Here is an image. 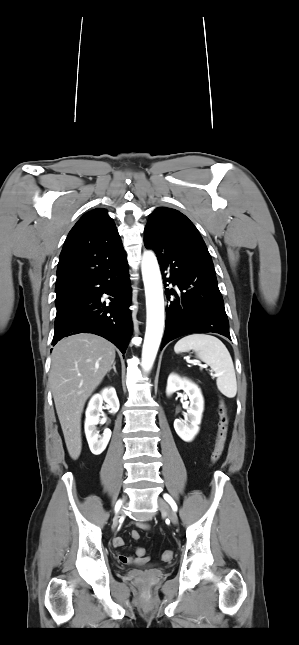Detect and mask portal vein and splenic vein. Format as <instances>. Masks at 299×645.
Masks as SVG:
<instances>
[{
    "instance_id": "1",
    "label": "portal vein and splenic vein",
    "mask_w": 299,
    "mask_h": 645,
    "mask_svg": "<svg viewBox=\"0 0 299 645\" xmlns=\"http://www.w3.org/2000/svg\"><path fill=\"white\" fill-rule=\"evenodd\" d=\"M203 368H207V365H202Z\"/></svg>"
}]
</instances>
